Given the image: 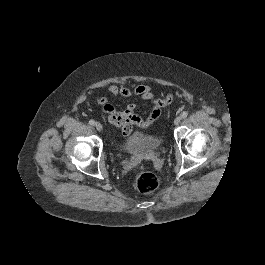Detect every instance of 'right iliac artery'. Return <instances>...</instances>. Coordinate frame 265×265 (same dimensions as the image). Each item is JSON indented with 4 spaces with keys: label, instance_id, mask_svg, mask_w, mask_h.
Returning a JSON list of instances; mask_svg holds the SVG:
<instances>
[{
    "label": "right iliac artery",
    "instance_id": "obj_1",
    "mask_svg": "<svg viewBox=\"0 0 265 265\" xmlns=\"http://www.w3.org/2000/svg\"><path fill=\"white\" fill-rule=\"evenodd\" d=\"M89 124L94 126V125H95V121H94L93 119H91V120L89 121Z\"/></svg>",
    "mask_w": 265,
    "mask_h": 265
}]
</instances>
